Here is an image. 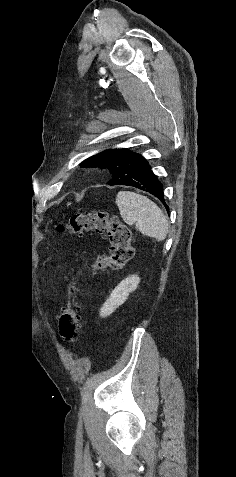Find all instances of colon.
<instances>
[{"mask_svg": "<svg viewBox=\"0 0 236 477\" xmlns=\"http://www.w3.org/2000/svg\"><path fill=\"white\" fill-rule=\"evenodd\" d=\"M65 230L74 235L95 232L107 237L110 243V254L98 256L92 262L91 270L95 273L108 269H120L133 258L131 231L117 218L109 216L107 212H77L69 218L66 225L57 226L58 232ZM77 284L78 278L75 277L69 284L68 302L58 322L59 334L66 342H73L79 330L80 304L77 300Z\"/></svg>", "mask_w": 236, "mask_h": 477, "instance_id": "colon-1", "label": "colon"}]
</instances>
